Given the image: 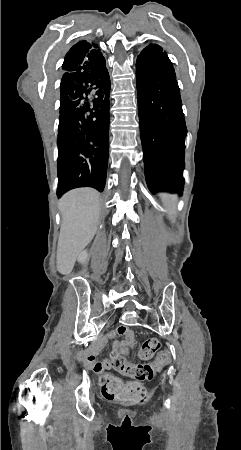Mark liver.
Here are the masks:
<instances>
[{
    "instance_id": "1",
    "label": "liver",
    "mask_w": 241,
    "mask_h": 450,
    "mask_svg": "<svg viewBox=\"0 0 241 450\" xmlns=\"http://www.w3.org/2000/svg\"><path fill=\"white\" fill-rule=\"evenodd\" d=\"M100 194L93 188H77L64 194L58 202L62 216L57 246V270L70 274L77 256L93 240L100 216Z\"/></svg>"
}]
</instances>
